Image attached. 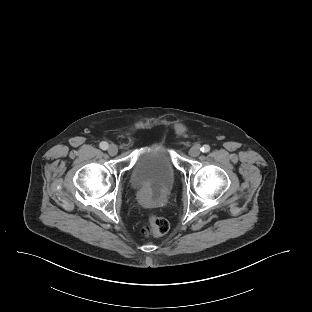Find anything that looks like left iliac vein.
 Segmentation results:
<instances>
[{"label": "left iliac vein", "instance_id": "obj_1", "mask_svg": "<svg viewBox=\"0 0 312 312\" xmlns=\"http://www.w3.org/2000/svg\"><path fill=\"white\" fill-rule=\"evenodd\" d=\"M200 152H201L200 146L194 145L190 148L189 155L192 157H197V156H199Z\"/></svg>", "mask_w": 312, "mask_h": 312}]
</instances>
